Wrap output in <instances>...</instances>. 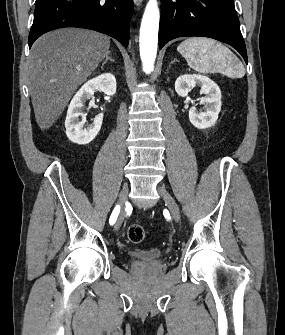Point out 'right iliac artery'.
<instances>
[{"label":"right iliac artery","mask_w":285,"mask_h":335,"mask_svg":"<svg viewBox=\"0 0 285 335\" xmlns=\"http://www.w3.org/2000/svg\"><path fill=\"white\" fill-rule=\"evenodd\" d=\"M119 212H120V206L117 205L110 216L109 219L110 225H113L116 222Z\"/></svg>","instance_id":"82829eb1"}]
</instances>
